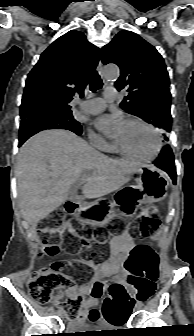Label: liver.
Masks as SVG:
<instances>
[{
    "label": "liver",
    "mask_w": 194,
    "mask_h": 336,
    "mask_svg": "<svg viewBox=\"0 0 194 336\" xmlns=\"http://www.w3.org/2000/svg\"><path fill=\"white\" fill-rule=\"evenodd\" d=\"M141 165L114 160L65 130H46L27 140L16 165L18 198L22 216L35 230L40 220L70 199L72 186L85 171L82 194L100 198L130 181Z\"/></svg>",
    "instance_id": "1"
}]
</instances>
